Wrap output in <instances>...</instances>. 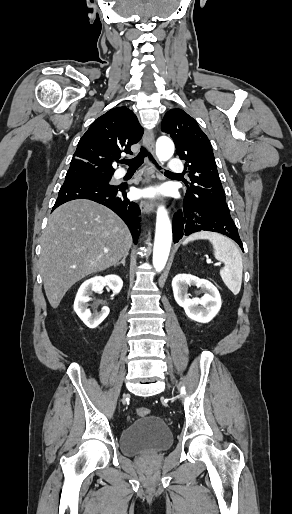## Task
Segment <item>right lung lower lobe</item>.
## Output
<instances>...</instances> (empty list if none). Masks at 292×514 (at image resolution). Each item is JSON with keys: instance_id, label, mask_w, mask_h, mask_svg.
Masks as SVG:
<instances>
[{"instance_id": "1", "label": "right lung lower lobe", "mask_w": 292, "mask_h": 514, "mask_svg": "<svg viewBox=\"0 0 292 514\" xmlns=\"http://www.w3.org/2000/svg\"><path fill=\"white\" fill-rule=\"evenodd\" d=\"M127 184L111 185L88 179L65 180L52 210L74 199H89L113 210L127 224L137 243L140 208L126 196Z\"/></svg>"}]
</instances>
